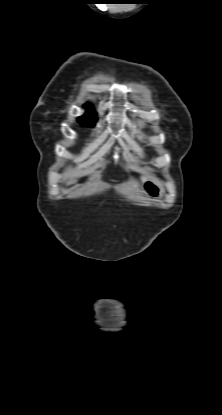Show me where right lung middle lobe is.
Here are the masks:
<instances>
[{
	"label": "right lung middle lobe",
	"instance_id": "obj_1",
	"mask_svg": "<svg viewBox=\"0 0 222 415\" xmlns=\"http://www.w3.org/2000/svg\"><path fill=\"white\" fill-rule=\"evenodd\" d=\"M78 121L82 124V125H86L89 127L94 126L95 122L97 121V118L95 117V113L94 112H87L85 115L81 116L78 118Z\"/></svg>",
	"mask_w": 222,
	"mask_h": 415
}]
</instances>
